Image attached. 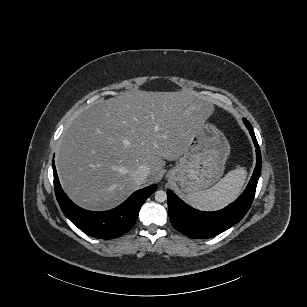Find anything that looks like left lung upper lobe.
<instances>
[{
    "label": "left lung upper lobe",
    "mask_w": 307,
    "mask_h": 307,
    "mask_svg": "<svg viewBox=\"0 0 307 307\" xmlns=\"http://www.w3.org/2000/svg\"><path fill=\"white\" fill-rule=\"evenodd\" d=\"M243 121H244V124L250 125V123L245 118L243 119Z\"/></svg>",
    "instance_id": "5c2ea615"
}]
</instances>
